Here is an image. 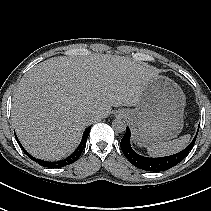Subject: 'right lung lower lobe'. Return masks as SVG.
Instances as JSON below:
<instances>
[{
	"label": "right lung lower lobe",
	"mask_w": 211,
	"mask_h": 211,
	"mask_svg": "<svg viewBox=\"0 0 211 211\" xmlns=\"http://www.w3.org/2000/svg\"><path fill=\"white\" fill-rule=\"evenodd\" d=\"M90 129H91V127H88L84 131V134H83V137H82V140H81L79 146L76 148V150L69 157H67L64 160L55 161V162L36 159L35 157L31 156L29 153L26 152V150L22 147V145L20 144L17 137H16V139H17L19 145L21 146L22 150L24 151V153L29 158H31L33 161L37 162L39 165H41L43 167H48V168H60V167L67 166L71 163H74L76 160H78V158L80 157L82 151L84 150V148L86 146V141H87Z\"/></svg>",
	"instance_id": "1"
}]
</instances>
